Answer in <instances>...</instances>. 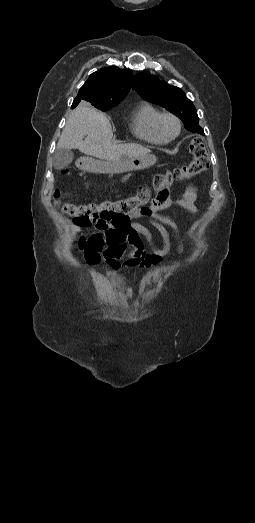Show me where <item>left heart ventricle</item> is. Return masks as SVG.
<instances>
[{"instance_id": "left-heart-ventricle-1", "label": "left heart ventricle", "mask_w": 255, "mask_h": 523, "mask_svg": "<svg viewBox=\"0 0 255 523\" xmlns=\"http://www.w3.org/2000/svg\"><path fill=\"white\" fill-rule=\"evenodd\" d=\"M164 130L167 135H173L176 132L175 124L172 121L167 120L164 124Z\"/></svg>"}]
</instances>
